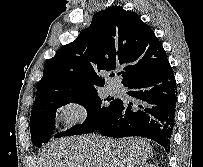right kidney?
<instances>
[{"instance_id": "right-kidney-1", "label": "right kidney", "mask_w": 203, "mask_h": 167, "mask_svg": "<svg viewBox=\"0 0 203 167\" xmlns=\"http://www.w3.org/2000/svg\"><path fill=\"white\" fill-rule=\"evenodd\" d=\"M140 167H157V166H155V165H153V164H145V165H141Z\"/></svg>"}]
</instances>
